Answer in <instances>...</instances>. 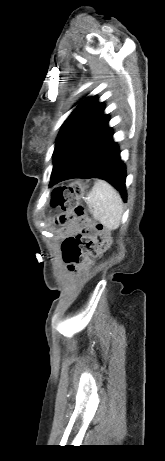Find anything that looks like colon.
Listing matches in <instances>:
<instances>
[{"label": "colon", "instance_id": "obj_1", "mask_svg": "<svg viewBox=\"0 0 165 461\" xmlns=\"http://www.w3.org/2000/svg\"><path fill=\"white\" fill-rule=\"evenodd\" d=\"M83 185L79 182L72 183L68 186L56 188L51 197V205L60 208L62 213L58 217V223L61 225L78 218L82 222L89 224L95 234V239L87 242L84 247L88 251H94L96 248H107L110 244V237L107 229L101 223H93L86 213L85 209L76 205V199L81 194Z\"/></svg>", "mask_w": 165, "mask_h": 461}]
</instances>
